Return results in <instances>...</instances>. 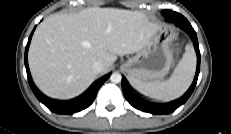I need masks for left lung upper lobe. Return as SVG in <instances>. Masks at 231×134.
I'll return each mask as SVG.
<instances>
[{
  "label": "left lung upper lobe",
  "instance_id": "1",
  "mask_svg": "<svg viewBox=\"0 0 231 134\" xmlns=\"http://www.w3.org/2000/svg\"><path fill=\"white\" fill-rule=\"evenodd\" d=\"M163 14H164V16H165L166 18H169L170 15H173V14H174V12H172V11H170V10H164V11H163Z\"/></svg>",
  "mask_w": 231,
  "mask_h": 134
}]
</instances>
